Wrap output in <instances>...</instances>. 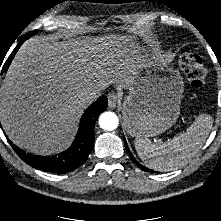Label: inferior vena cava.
<instances>
[{"instance_id":"obj_1","label":"inferior vena cava","mask_w":221,"mask_h":221,"mask_svg":"<svg viewBox=\"0 0 221 221\" xmlns=\"http://www.w3.org/2000/svg\"><path fill=\"white\" fill-rule=\"evenodd\" d=\"M98 97L97 90H85L78 94V101L84 105L91 103Z\"/></svg>"}]
</instances>
